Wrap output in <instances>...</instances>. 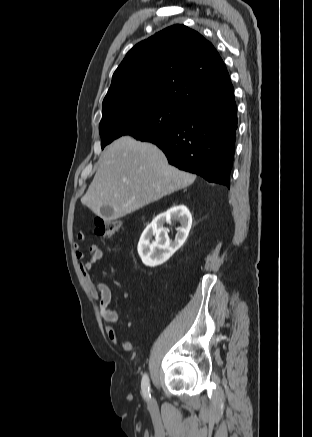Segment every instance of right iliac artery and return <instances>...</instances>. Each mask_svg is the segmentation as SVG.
<instances>
[{
	"mask_svg": "<svg viewBox=\"0 0 312 437\" xmlns=\"http://www.w3.org/2000/svg\"><path fill=\"white\" fill-rule=\"evenodd\" d=\"M141 389H142L143 396L146 399H150L151 398V394H150V382H149V377H148L147 374H144V376L142 378Z\"/></svg>",
	"mask_w": 312,
	"mask_h": 437,
	"instance_id": "1",
	"label": "right iliac artery"
}]
</instances>
